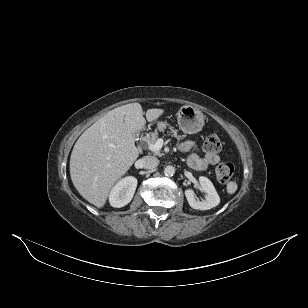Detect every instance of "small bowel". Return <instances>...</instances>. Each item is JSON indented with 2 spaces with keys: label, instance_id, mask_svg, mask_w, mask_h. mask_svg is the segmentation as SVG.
I'll return each mask as SVG.
<instances>
[{
  "label": "small bowel",
  "instance_id": "obj_1",
  "mask_svg": "<svg viewBox=\"0 0 308 308\" xmlns=\"http://www.w3.org/2000/svg\"><path fill=\"white\" fill-rule=\"evenodd\" d=\"M180 149L183 152L190 153L187 157V162L189 166L195 170L205 171L210 166H213L220 161V157L217 153L207 152L205 155L200 156L196 144L191 141L183 142L180 145Z\"/></svg>",
  "mask_w": 308,
  "mask_h": 308
}]
</instances>
